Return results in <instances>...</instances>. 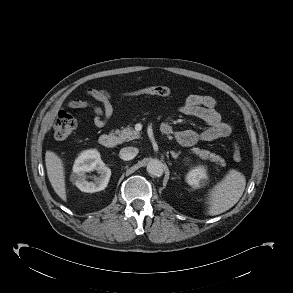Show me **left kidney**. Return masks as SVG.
<instances>
[{"label":"left kidney","mask_w":293,"mask_h":293,"mask_svg":"<svg viewBox=\"0 0 293 293\" xmlns=\"http://www.w3.org/2000/svg\"><path fill=\"white\" fill-rule=\"evenodd\" d=\"M186 182L193 189H200L208 183L206 169L203 166H198L191 169L186 175Z\"/></svg>","instance_id":"5707ae66"}]
</instances>
